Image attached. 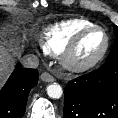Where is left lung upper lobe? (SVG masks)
Here are the masks:
<instances>
[{
	"label": "left lung upper lobe",
	"instance_id": "5c2ea615",
	"mask_svg": "<svg viewBox=\"0 0 118 118\" xmlns=\"http://www.w3.org/2000/svg\"><path fill=\"white\" fill-rule=\"evenodd\" d=\"M114 33L116 35L114 45L111 49L110 54L106 58V63L118 61V26L114 25Z\"/></svg>",
	"mask_w": 118,
	"mask_h": 118
}]
</instances>
